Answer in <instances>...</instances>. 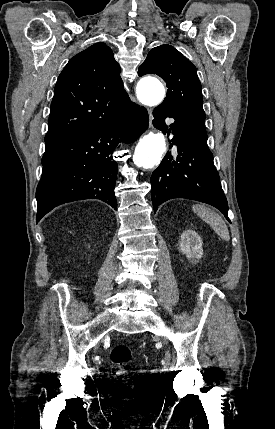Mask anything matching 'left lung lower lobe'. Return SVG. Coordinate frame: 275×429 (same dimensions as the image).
Here are the masks:
<instances>
[{
  "label": "left lung lower lobe",
  "mask_w": 275,
  "mask_h": 429,
  "mask_svg": "<svg viewBox=\"0 0 275 429\" xmlns=\"http://www.w3.org/2000/svg\"><path fill=\"white\" fill-rule=\"evenodd\" d=\"M153 125L163 133L174 134L171 140L177 153L168 151L151 176V199L154 212L163 202L186 198L210 204L219 209L230 222L228 204L222 190L219 174L213 163V154L207 146L206 130L196 123L180 118L159 105L153 111ZM174 122L169 126L165 118ZM231 223V222H230Z\"/></svg>",
  "instance_id": "left-lung-lower-lobe-1"
}]
</instances>
